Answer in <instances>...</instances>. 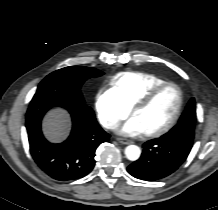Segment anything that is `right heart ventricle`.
I'll return each mask as SVG.
<instances>
[{
	"mask_svg": "<svg viewBox=\"0 0 218 210\" xmlns=\"http://www.w3.org/2000/svg\"><path fill=\"white\" fill-rule=\"evenodd\" d=\"M165 82L164 79L144 72H124L110 80L111 89L130 109L148 91Z\"/></svg>",
	"mask_w": 218,
	"mask_h": 210,
	"instance_id": "1",
	"label": "right heart ventricle"
}]
</instances>
